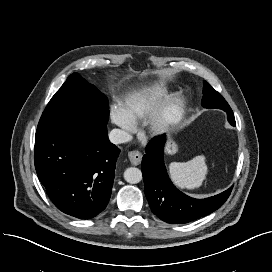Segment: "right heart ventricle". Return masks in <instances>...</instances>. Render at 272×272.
I'll return each mask as SVG.
<instances>
[{
  "mask_svg": "<svg viewBox=\"0 0 272 272\" xmlns=\"http://www.w3.org/2000/svg\"><path fill=\"white\" fill-rule=\"evenodd\" d=\"M168 87L152 82L132 90L121 105L125 118L132 124L145 119L168 95Z\"/></svg>",
  "mask_w": 272,
  "mask_h": 272,
  "instance_id": "1",
  "label": "right heart ventricle"
}]
</instances>
